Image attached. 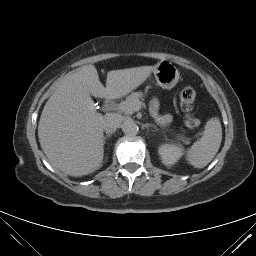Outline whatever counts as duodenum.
Wrapping results in <instances>:
<instances>
[{"instance_id":"obj_1","label":"duodenum","mask_w":256,"mask_h":256,"mask_svg":"<svg viewBox=\"0 0 256 256\" xmlns=\"http://www.w3.org/2000/svg\"><path fill=\"white\" fill-rule=\"evenodd\" d=\"M112 102H113V99H108V100H106V103H105V108H106V110H108V111H110V110H112Z\"/></svg>"}]
</instances>
